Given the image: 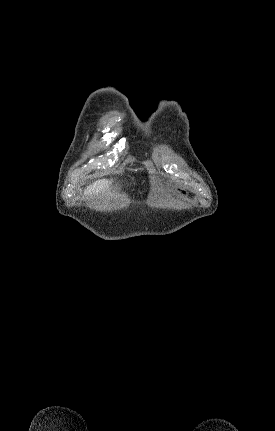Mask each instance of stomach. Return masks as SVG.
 <instances>
[{"label": "stomach", "mask_w": 275, "mask_h": 431, "mask_svg": "<svg viewBox=\"0 0 275 431\" xmlns=\"http://www.w3.org/2000/svg\"><path fill=\"white\" fill-rule=\"evenodd\" d=\"M177 191L180 193V194H183V195H186V192H185V190H182V189H177Z\"/></svg>", "instance_id": "0dacf381"}]
</instances>
